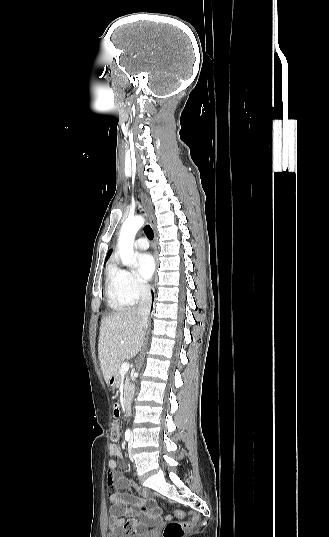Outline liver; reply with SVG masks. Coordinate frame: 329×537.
Masks as SVG:
<instances>
[{
    "label": "liver",
    "instance_id": "6515ba94",
    "mask_svg": "<svg viewBox=\"0 0 329 537\" xmlns=\"http://www.w3.org/2000/svg\"><path fill=\"white\" fill-rule=\"evenodd\" d=\"M143 327V319L135 309L120 311L102 320L98 357L107 384L125 358L138 354L143 342Z\"/></svg>",
    "mask_w": 329,
    "mask_h": 537
}]
</instances>
